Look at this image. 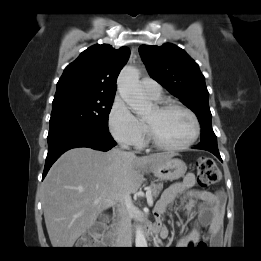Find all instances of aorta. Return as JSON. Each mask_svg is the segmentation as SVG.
<instances>
[{
    "instance_id": "obj_1",
    "label": "aorta",
    "mask_w": 261,
    "mask_h": 261,
    "mask_svg": "<svg viewBox=\"0 0 261 261\" xmlns=\"http://www.w3.org/2000/svg\"><path fill=\"white\" fill-rule=\"evenodd\" d=\"M118 91L122 99L138 115L150 110L152 104L144 96L139 84V72L132 66H125L118 77ZM136 248H146L147 241L141 228H136L135 232Z\"/></svg>"
}]
</instances>
